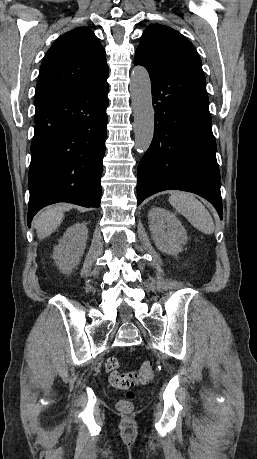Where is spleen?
<instances>
[{"mask_svg": "<svg viewBox=\"0 0 257 459\" xmlns=\"http://www.w3.org/2000/svg\"><path fill=\"white\" fill-rule=\"evenodd\" d=\"M170 204L199 231L212 234L215 226L209 211L188 192L176 191L169 197Z\"/></svg>", "mask_w": 257, "mask_h": 459, "instance_id": "3e777b00", "label": "spleen"}]
</instances>
